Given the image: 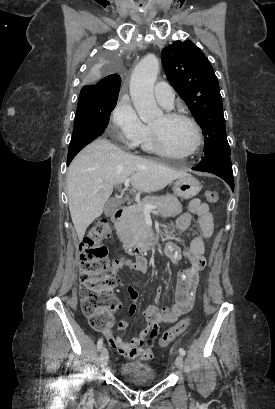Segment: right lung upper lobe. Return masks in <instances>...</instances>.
Instances as JSON below:
<instances>
[{"label":"right lung upper lobe","mask_w":275,"mask_h":409,"mask_svg":"<svg viewBox=\"0 0 275 409\" xmlns=\"http://www.w3.org/2000/svg\"><path fill=\"white\" fill-rule=\"evenodd\" d=\"M121 78L118 74H111L102 79L100 85H87L81 89L80 95L95 98H118Z\"/></svg>","instance_id":"1"}]
</instances>
